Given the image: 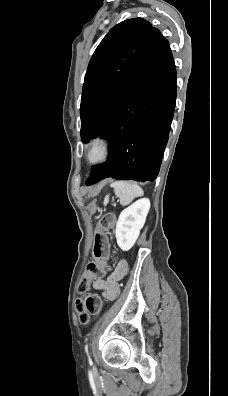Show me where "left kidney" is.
<instances>
[{
	"label": "left kidney",
	"instance_id": "5707ae66",
	"mask_svg": "<svg viewBox=\"0 0 228 396\" xmlns=\"http://www.w3.org/2000/svg\"><path fill=\"white\" fill-rule=\"evenodd\" d=\"M150 209V200L142 198L129 207L125 208L119 215L115 236L118 246L123 251L130 250L139 237L147 214Z\"/></svg>",
	"mask_w": 228,
	"mask_h": 396
}]
</instances>
